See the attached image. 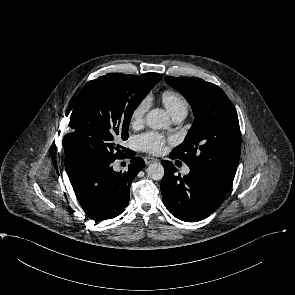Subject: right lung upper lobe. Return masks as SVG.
Returning <instances> with one entry per match:
<instances>
[{
	"mask_svg": "<svg viewBox=\"0 0 295 295\" xmlns=\"http://www.w3.org/2000/svg\"><path fill=\"white\" fill-rule=\"evenodd\" d=\"M152 75V77L154 78V80L156 81V83L158 81H160L162 79V76L155 74V73H150ZM66 168V172L70 171L72 167H65Z\"/></svg>",
	"mask_w": 295,
	"mask_h": 295,
	"instance_id": "1",
	"label": "right lung upper lobe"
}]
</instances>
